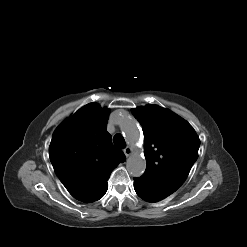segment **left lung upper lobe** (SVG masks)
<instances>
[{
    "label": "left lung upper lobe",
    "instance_id": "left-lung-upper-lobe-1",
    "mask_svg": "<svg viewBox=\"0 0 247 247\" xmlns=\"http://www.w3.org/2000/svg\"><path fill=\"white\" fill-rule=\"evenodd\" d=\"M131 111L144 133L147 167L141 178L169 196L183 184L197 160L199 137L187 121L160 106L149 104Z\"/></svg>",
    "mask_w": 247,
    "mask_h": 247
}]
</instances>
